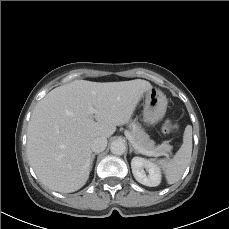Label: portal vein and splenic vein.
I'll return each instance as SVG.
<instances>
[{
  "label": "portal vein and splenic vein",
  "mask_w": 229,
  "mask_h": 229,
  "mask_svg": "<svg viewBox=\"0 0 229 229\" xmlns=\"http://www.w3.org/2000/svg\"><path fill=\"white\" fill-rule=\"evenodd\" d=\"M90 114H94L96 113L97 111L91 107L90 108ZM125 136L126 138L128 139V141L130 142V144L139 152V153H142L144 155H147V156H160L162 154H159L153 150H146L144 148H142L135 140L134 138L132 137V135L130 134L129 131H125Z\"/></svg>",
  "instance_id": "obj_1"
}]
</instances>
